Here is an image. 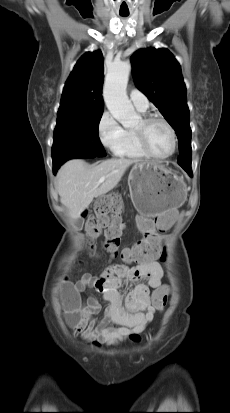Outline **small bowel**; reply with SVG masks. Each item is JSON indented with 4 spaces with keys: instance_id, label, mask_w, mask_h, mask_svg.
Segmentation results:
<instances>
[{
    "instance_id": "c3829d8e",
    "label": "small bowel",
    "mask_w": 230,
    "mask_h": 413,
    "mask_svg": "<svg viewBox=\"0 0 230 413\" xmlns=\"http://www.w3.org/2000/svg\"><path fill=\"white\" fill-rule=\"evenodd\" d=\"M178 221L175 211L169 210L162 218H137L136 225L140 231H170ZM163 276V268L154 260L132 267L110 265L98 278L84 274L77 283L63 287L64 304L70 296L77 297V309L69 311L66 308L67 321L75 333L96 346L115 345L126 339L137 340V335L144 331L153 320L155 311L159 310L153 303V295H169V286L162 284ZM143 279L147 284L139 283ZM126 282L138 284L130 293L123 295L121 288ZM88 288L100 292L108 302L102 317H97L102 306L96 296L91 295L86 300L81 298ZM150 288L153 289L152 294Z\"/></svg>"
}]
</instances>
